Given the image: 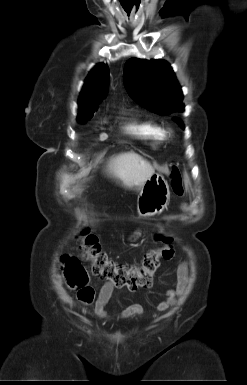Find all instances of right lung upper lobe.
I'll return each mask as SVG.
<instances>
[{"label":"right lung upper lobe","instance_id":"1","mask_svg":"<svg viewBox=\"0 0 247 385\" xmlns=\"http://www.w3.org/2000/svg\"><path fill=\"white\" fill-rule=\"evenodd\" d=\"M108 66L99 64L87 77L79 97V115L85 116L97 109L106 95L108 87Z\"/></svg>","mask_w":247,"mask_h":385}]
</instances>
